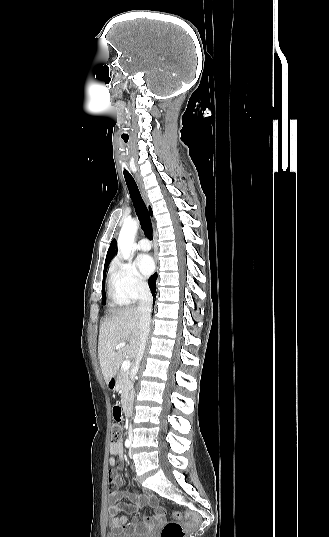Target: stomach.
Wrapping results in <instances>:
<instances>
[{
	"instance_id": "obj_1",
	"label": "stomach",
	"mask_w": 329,
	"mask_h": 537,
	"mask_svg": "<svg viewBox=\"0 0 329 537\" xmlns=\"http://www.w3.org/2000/svg\"><path fill=\"white\" fill-rule=\"evenodd\" d=\"M108 388L115 391L117 389V385H116V382H115V379L114 378H111L108 383Z\"/></svg>"
}]
</instances>
